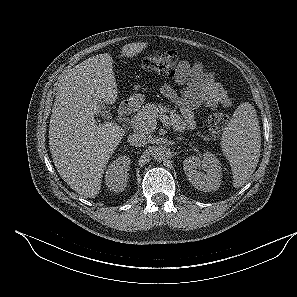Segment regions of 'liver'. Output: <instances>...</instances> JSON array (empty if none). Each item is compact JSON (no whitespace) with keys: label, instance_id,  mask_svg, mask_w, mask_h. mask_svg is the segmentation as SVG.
Returning <instances> with one entry per match:
<instances>
[{"label":"liver","instance_id":"1","mask_svg":"<svg viewBox=\"0 0 297 297\" xmlns=\"http://www.w3.org/2000/svg\"><path fill=\"white\" fill-rule=\"evenodd\" d=\"M148 43L122 47L131 58ZM110 54H99L70 69L60 80L49 124L50 152L62 179L85 198H95L101 189L108 160L125 135L112 122L98 123V103L113 104L117 84Z\"/></svg>","mask_w":297,"mask_h":297}]
</instances>
